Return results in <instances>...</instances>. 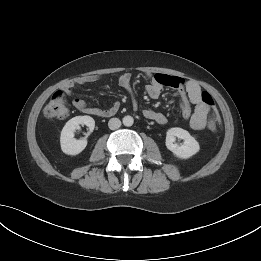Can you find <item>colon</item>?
Segmentation results:
<instances>
[{"label":"colon","instance_id":"5ec220e1","mask_svg":"<svg viewBox=\"0 0 261 261\" xmlns=\"http://www.w3.org/2000/svg\"><path fill=\"white\" fill-rule=\"evenodd\" d=\"M202 98L205 103L214 106V101L209 93L203 92ZM43 115L48 119H65L68 117L69 109L66 104L65 94L62 91H58L52 96L43 109ZM215 127L217 129L221 128L219 114L215 115Z\"/></svg>","mask_w":261,"mask_h":261}]
</instances>
